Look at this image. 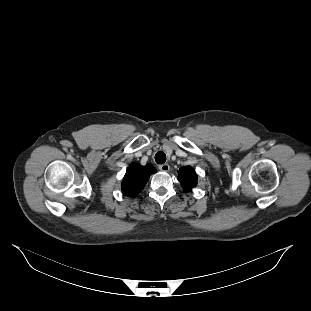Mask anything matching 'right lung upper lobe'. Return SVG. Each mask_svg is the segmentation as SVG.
I'll return each mask as SVG.
<instances>
[{"mask_svg":"<svg viewBox=\"0 0 311 311\" xmlns=\"http://www.w3.org/2000/svg\"><path fill=\"white\" fill-rule=\"evenodd\" d=\"M156 171V168L150 164L145 166L138 163L131 164L122 181L123 194L129 197L137 196L144 188L149 177Z\"/></svg>","mask_w":311,"mask_h":311,"instance_id":"right-lung-upper-lobe-1","label":"right lung upper lobe"}]
</instances>
